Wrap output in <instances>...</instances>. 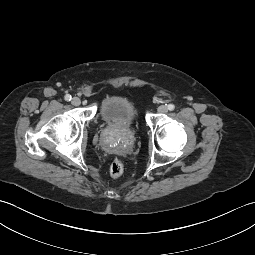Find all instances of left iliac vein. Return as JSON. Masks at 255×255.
Returning <instances> with one entry per match:
<instances>
[{
	"instance_id": "left-iliac-vein-1",
	"label": "left iliac vein",
	"mask_w": 255,
	"mask_h": 255,
	"mask_svg": "<svg viewBox=\"0 0 255 255\" xmlns=\"http://www.w3.org/2000/svg\"><path fill=\"white\" fill-rule=\"evenodd\" d=\"M168 111V108H167V106H165V105H160L159 107H158V112L159 113H166Z\"/></svg>"
}]
</instances>
